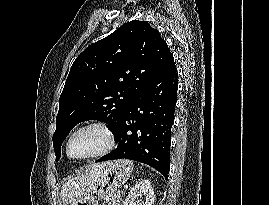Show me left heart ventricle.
<instances>
[{"mask_svg":"<svg viewBox=\"0 0 269 205\" xmlns=\"http://www.w3.org/2000/svg\"><path fill=\"white\" fill-rule=\"evenodd\" d=\"M105 146V135L97 128H87L73 137L71 154L75 157H85L102 150Z\"/></svg>","mask_w":269,"mask_h":205,"instance_id":"1","label":"left heart ventricle"}]
</instances>
